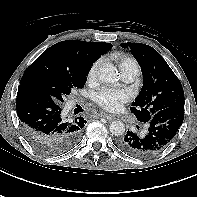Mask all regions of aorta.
Returning <instances> with one entry per match:
<instances>
[{"mask_svg": "<svg viewBox=\"0 0 197 197\" xmlns=\"http://www.w3.org/2000/svg\"><path fill=\"white\" fill-rule=\"evenodd\" d=\"M98 78L105 83H115L119 80V73L112 64H104L98 70ZM111 134L122 136L125 132V125L122 121H113L109 126Z\"/></svg>", "mask_w": 197, "mask_h": 197, "instance_id": "762f6f07", "label": "aorta"}]
</instances>
